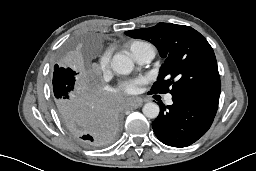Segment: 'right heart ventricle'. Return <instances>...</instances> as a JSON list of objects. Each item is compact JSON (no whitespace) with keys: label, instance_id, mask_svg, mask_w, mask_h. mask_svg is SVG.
Returning <instances> with one entry per match:
<instances>
[{"label":"right heart ventricle","instance_id":"e07e8e85","mask_svg":"<svg viewBox=\"0 0 256 171\" xmlns=\"http://www.w3.org/2000/svg\"><path fill=\"white\" fill-rule=\"evenodd\" d=\"M151 46L149 43L147 42H144V41H140V40H137V41H133L130 45H129V49H130V52L131 54L133 55V57H135L136 53L145 48V47H149Z\"/></svg>","mask_w":256,"mask_h":171}]
</instances>
